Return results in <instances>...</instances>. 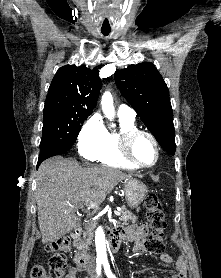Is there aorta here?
<instances>
[{"mask_svg": "<svg viewBox=\"0 0 221 278\" xmlns=\"http://www.w3.org/2000/svg\"><path fill=\"white\" fill-rule=\"evenodd\" d=\"M101 108L106 118L113 119L114 103L112 94L109 91L104 92L101 98ZM95 244L97 253V262L103 263L107 261L106 240L103 228L100 226L95 233Z\"/></svg>", "mask_w": 221, "mask_h": 278, "instance_id": "1", "label": "aorta"}]
</instances>
